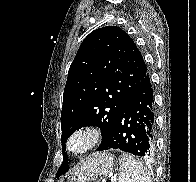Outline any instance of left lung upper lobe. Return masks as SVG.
<instances>
[{"label":"left lung upper lobe","mask_w":196,"mask_h":182,"mask_svg":"<svg viewBox=\"0 0 196 182\" xmlns=\"http://www.w3.org/2000/svg\"><path fill=\"white\" fill-rule=\"evenodd\" d=\"M146 74L141 52L121 28H99L84 39L69 68L64 89L61 112L64 159L56 177L69 168L66 139L81 127L98 126L103 144L122 105Z\"/></svg>","instance_id":"obj_1"}]
</instances>
